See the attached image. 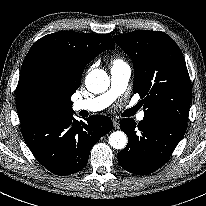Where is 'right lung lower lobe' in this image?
<instances>
[{"label":"right lung lower lobe","instance_id":"1","mask_svg":"<svg viewBox=\"0 0 206 206\" xmlns=\"http://www.w3.org/2000/svg\"><path fill=\"white\" fill-rule=\"evenodd\" d=\"M112 127L106 116L94 115L83 122L73 119L71 113L46 124L23 128L22 135L42 166L65 176L85 167L92 147Z\"/></svg>","mask_w":206,"mask_h":206}]
</instances>
